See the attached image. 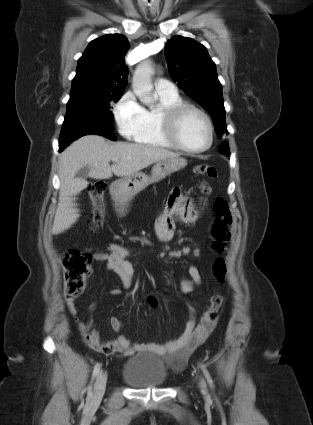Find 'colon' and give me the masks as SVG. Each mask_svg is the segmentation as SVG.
<instances>
[{
    "label": "colon",
    "instance_id": "obj_1",
    "mask_svg": "<svg viewBox=\"0 0 313 425\" xmlns=\"http://www.w3.org/2000/svg\"><path fill=\"white\" fill-rule=\"evenodd\" d=\"M197 175L206 176L216 180L218 172L216 168L210 165L201 164L194 168ZM200 189L203 194H209L210 186L206 181H201ZM106 185L103 182H93L88 187L89 197L94 205L92 212L91 224L93 229L100 227L103 221L104 213L102 208L103 195ZM213 212L215 215V223L212 229L214 243L212 250L215 253H223L227 250V241L233 232V219L230 213L228 203L224 198H217L213 204ZM196 256L201 254L200 251L194 253ZM93 256L90 253L79 250H69L63 255V270L65 276V294L68 298L78 297L85 288L86 279L91 274ZM226 262L223 258H217L212 265L213 277L223 282L226 278ZM222 303V296L214 294L210 298V312L217 315L219 307ZM151 304L155 305L152 299Z\"/></svg>",
    "mask_w": 313,
    "mask_h": 425
}]
</instances>
